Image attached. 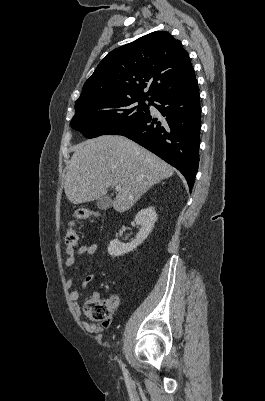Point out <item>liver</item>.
Segmentation results:
<instances>
[{
    "mask_svg": "<svg viewBox=\"0 0 265 401\" xmlns=\"http://www.w3.org/2000/svg\"><path fill=\"white\" fill-rule=\"evenodd\" d=\"M74 150L64 182L73 205L95 201L119 184L111 205L125 213L153 184L173 174L170 164L125 136L104 134L76 144Z\"/></svg>",
    "mask_w": 265,
    "mask_h": 401,
    "instance_id": "liver-1",
    "label": "liver"
}]
</instances>
